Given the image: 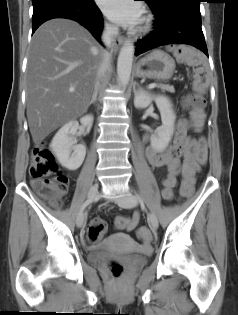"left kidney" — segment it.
<instances>
[{
    "label": "left kidney",
    "mask_w": 238,
    "mask_h": 315,
    "mask_svg": "<svg viewBox=\"0 0 238 315\" xmlns=\"http://www.w3.org/2000/svg\"><path fill=\"white\" fill-rule=\"evenodd\" d=\"M152 101H155L161 115L162 125L158 127L151 137V147L157 151H163L171 141L174 131L175 114L168 97L163 95H152L143 89H139L134 97L136 108H147Z\"/></svg>",
    "instance_id": "1"
}]
</instances>
